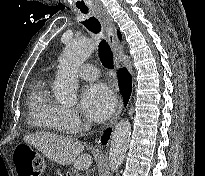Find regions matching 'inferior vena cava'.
Wrapping results in <instances>:
<instances>
[{"label": "inferior vena cava", "instance_id": "1", "mask_svg": "<svg viewBox=\"0 0 205 176\" xmlns=\"http://www.w3.org/2000/svg\"><path fill=\"white\" fill-rule=\"evenodd\" d=\"M89 129H90V124L87 123V124L85 125V130H89Z\"/></svg>", "mask_w": 205, "mask_h": 176}]
</instances>
